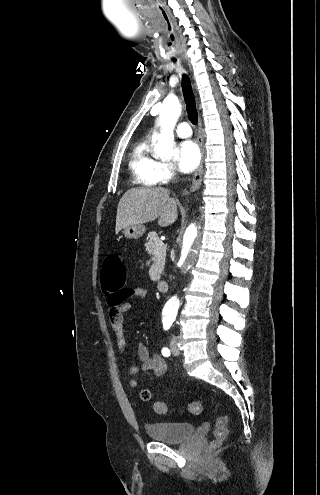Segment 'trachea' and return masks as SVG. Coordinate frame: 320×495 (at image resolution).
<instances>
[{"instance_id":"3493384b","label":"trachea","mask_w":320,"mask_h":495,"mask_svg":"<svg viewBox=\"0 0 320 495\" xmlns=\"http://www.w3.org/2000/svg\"><path fill=\"white\" fill-rule=\"evenodd\" d=\"M182 91L186 103V109L189 120L193 125L198 122V112L196 108L195 98L192 90V85L189 77L186 74L182 75Z\"/></svg>"}]
</instances>
